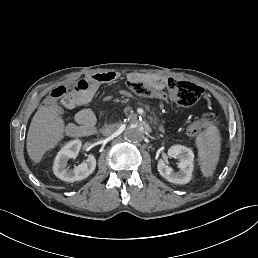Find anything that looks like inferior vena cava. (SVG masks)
Wrapping results in <instances>:
<instances>
[{"instance_id":"inferior-vena-cava-1","label":"inferior vena cava","mask_w":258,"mask_h":258,"mask_svg":"<svg viewBox=\"0 0 258 258\" xmlns=\"http://www.w3.org/2000/svg\"><path fill=\"white\" fill-rule=\"evenodd\" d=\"M116 131L115 127L113 125H107L102 129V134L104 136H110Z\"/></svg>"}]
</instances>
